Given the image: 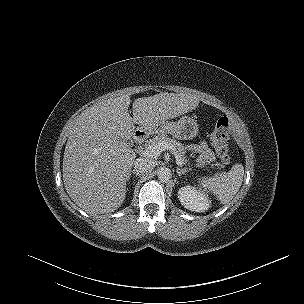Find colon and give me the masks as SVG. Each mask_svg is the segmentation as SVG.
I'll list each match as a JSON object with an SVG mask.
<instances>
[{"mask_svg": "<svg viewBox=\"0 0 304 304\" xmlns=\"http://www.w3.org/2000/svg\"><path fill=\"white\" fill-rule=\"evenodd\" d=\"M230 133V123L228 118L222 117L220 118L211 134V142L215 152L217 153L218 157L224 161H230V148L228 145Z\"/></svg>", "mask_w": 304, "mask_h": 304, "instance_id": "obj_1", "label": "colon"}]
</instances>
